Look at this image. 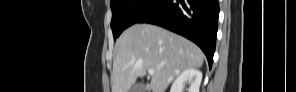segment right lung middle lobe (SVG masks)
<instances>
[{
  "instance_id": "obj_1",
  "label": "right lung middle lobe",
  "mask_w": 296,
  "mask_h": 92,
  "mask_svg": "<svg viewBox=\"0 0 296 92\" xmlns=\"http://www.w3.org/2000/svg\"><path fill=\"white\" fill-rule=\"evenodd\" d=\"M159 1L160 0H111V28L114 39H116L124 29L136 23Z\"/></svg>"
}]
</instances>
